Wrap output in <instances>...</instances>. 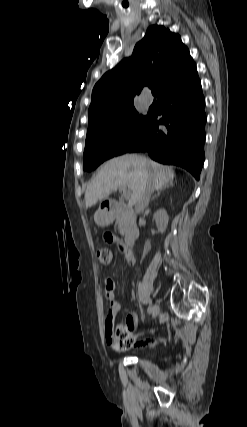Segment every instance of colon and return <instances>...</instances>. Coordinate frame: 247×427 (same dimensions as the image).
Returning a JSON list of instances; mask_svg holds the SVG:
<instances>
[{
    "label": "colon",
    "mask_w": 247,
    "mask_h": 427,
    "mask_svg": "<svg viewBox=\"0 0 247 427\" xmlns=\"http://www.w3.org/2000/svg\"><path fill=\"white\" fill-rule=\"evenodd\" d=\"M112 250L108 247L99 249L96 258L102 266L108 265L112 260ZM130 329L126 326L114 327L112 322L106 324V336L115 350H126L134 344L130 334Z\"/></svg>",
    "instance_id": "1"
}]
</instances>
